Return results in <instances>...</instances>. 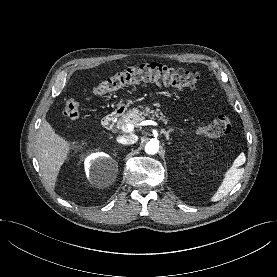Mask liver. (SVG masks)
<instances>
[{"label":"liver","instance_id":"1","mask_svg":"<svg viewBox=\"0 0 277 277\" xmlns=\"http://www.w3.org/2000/svg\"><path fill=\"white\" fill-rule=\"evenodd\" d=\"M38 161L42 178L54 188L61 166L67 160L72 143L57 134L47 120H43L37 134Z\"/></svg>","mask_w":277,"mask_h":277}]
</instances>
